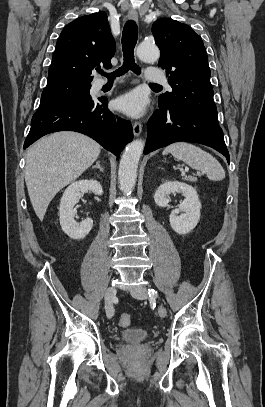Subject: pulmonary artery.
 Masks as SVG:
<instances>
[{"mask_svg": "<svg viewBox=\"0 0 265 407\" xmlns=\"http://www.w3.org/2000/svg\"><path fill=\"white\" fill-rule=\"evenodd\" d=\"M146 77L147 79L154 83V84H166L167 79L165 74L162 72V70L155 68V67H149L146 72ZM104 85V81H99L97 86L101 87Z\"/></svg>", "mask_w": 265, "mask_h": 407, "instance_id": "pulmonary-artery-1", "label": "pulmonary artery"}]
</instances>
